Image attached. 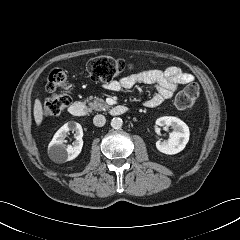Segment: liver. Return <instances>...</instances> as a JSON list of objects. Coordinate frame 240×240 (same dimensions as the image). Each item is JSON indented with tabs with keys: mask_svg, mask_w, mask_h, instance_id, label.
<instances>
[{
	"mask_svg": "<svg viewBox=\"0 0 240 240\" xmlns=\"http://www.w3.org/2000/svg\"><path fill=\"white\" fill-rule=\"evenodd\" d=\"M34 119L37 125H40L43 121V109L39 99L35 100L34 104Z\"/></svg>",
	"mask_w": 240,
	"mask_h": 240,
	"instance_id": "liver-1",
	"label": "liver"
}]
</instances>
